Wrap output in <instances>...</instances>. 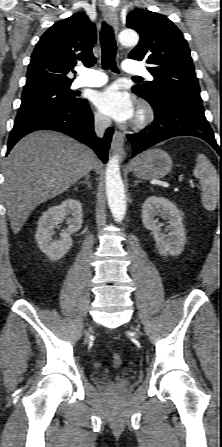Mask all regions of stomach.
I'll list each match as a JSON object with an SVG mask.
<instances>
[{"label": "stomach", "instance_id": "obj_1", "mask_svg": "<svg viewBox=\"0 0 222 447\" xmlns=\"http://www.w3.org/2000/svg\"><path fill=\"white\" fill-rule=\"evenodd\" d=\"M172 169L170 155L161 149H150L139 155L131 164L134 175L143 180L159 179Z\"/></svg>", "mask_w": 222, "mask_h": 447}]
</instances>
